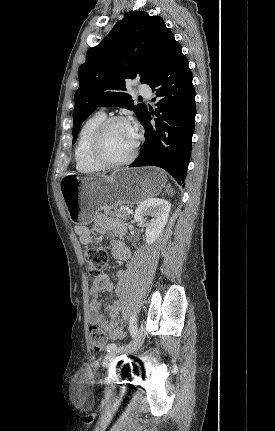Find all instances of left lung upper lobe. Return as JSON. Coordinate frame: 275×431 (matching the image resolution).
Wrapping results in <instances>:
<instances>
[{
	"mask_svg": "<svg viewBox=\"0 0 275 431\" xmlns=\"http://www.w3.org/2000/svg\"><path fill=\"white\" fill-rule=\"evenodd\" d=\"M179 45L161 17L144 11L128 12L103 41L88 50L78 69L79 88L73 111V143L84 120L99 106H119L133 110L142 120L147 112L143 103L134 104L126 93V79L140 78L150 84L167 65ZM139 47L144 52H129Z\"/></svg>",
	"mask_w": 275,
	"mask_h": 431,
	"instance_id": "5c2ea615",
	"label": "left lung upper lobe"
}]
</instances>
